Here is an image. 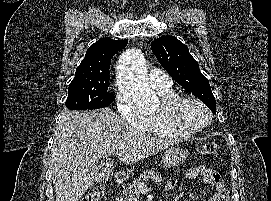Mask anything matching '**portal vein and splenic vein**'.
Returning <instances> with one entry per match:
<instances>
[{
  "label": "portal vein and splenic vein",
  "mask_w": 271,
  "mask_h": 201,
  "mask_svg": "<svg viewBox=\"0 0 271 201\" xmlns=\"http://www.w3.org/2000/svg\"><path fill=\"white\" fill-rule=\"evenodd\" d=\"M120 149H122V147L120 146V147H118V150H120ZM139 190H147V186H146V184L145 183H140L139 184Z\"/></svg>",
  "instance_id": "18ae733b"
}]
</instances>
